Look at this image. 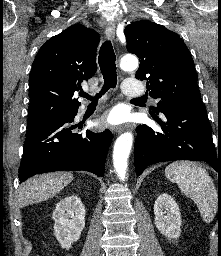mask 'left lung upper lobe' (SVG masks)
Returning a JSON list of instances; mask_svg holds the SVG:
<instances>
[{"instance_id": "left-lung-upper-lobe-1", "label": "left lung upper lobe", "mask_w": 221, "mask_h": 256, "mask_svg": "<svg viewBox=\"0 0 221 256\" xmlns=\"http://www.w3.org/2000/svg\"><path fill=\"white\" fill-rule=\"evenodd\" d=\"M124 33L127 50L140 59L136 78L147 80L150 96L160 99L157 107L151 108L153 112L205 108L193 59L178 34L147 20L129 24Z\"/></svg>"}]
</instances>
